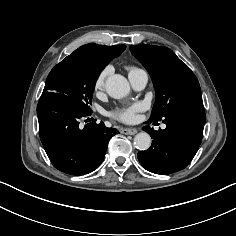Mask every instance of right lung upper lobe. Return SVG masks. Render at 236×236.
<instances>
[{"label": "right lung upper lobe", "mask_w": 236, "mask_h": 236, "mask_svg": "<svg viewBox=\"0 0 236 236\" xmlns=\"http://www.w3.org/2000/svg\"><path fill=\"white\" fill-rule=\"evenodd\" d=\"M125 45L103 46L94 43L86 44L75 50L72 55L93 57V58H105L110 61L118 57L124 50Z\"/></svg>", "instance_id": "cb5924a9"}]
</instances>
